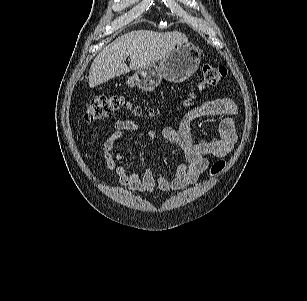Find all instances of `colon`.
Masks as SVG:
<instances>
[{
	"label": "colon",
	"instance_id": "colon-1",
	"mask_svg": "<svg viewBox=\"0 0 307 301\" xmlns=\"http://www.w3.org/2000/svg\"><path fill=\"white\" fill-rule=\"evenodd\" d=\"M203 78L199 87L201 89L211 88L220 84L226 77V68L222 65L204 64L202 66ZM125 105V99L116 94H102L91 98L85 111V119L90 122L101 121L109 118L115 112ZM137 114L152 116L153 110L145 108L144 110L137 107ZM223 161H217L212 167V174H217L224 168Z\"/></svg>",
	"mask_w": 307,
	"mask_h": 301
}]
</instances>
